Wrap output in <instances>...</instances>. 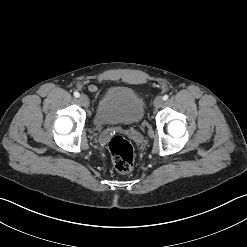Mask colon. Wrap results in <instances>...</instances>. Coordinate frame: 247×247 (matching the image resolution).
<instances>
[{
  "label": "colon",
  "instance_id": "1",
  "mask_svg": "<svg viewBox=\"0 0 247 247\" xmlns=\"http://www.w3.org/2000/svg\"><path fill=\"white\" fill-rule=\"evenodd\" d=\"M108 151L114 167L119 172H128L134 163V148L123 136L115 135L108 142Z\"/></svg>",
  "mask_w": 247,
  "mask_h": 247
}]
</instances>
